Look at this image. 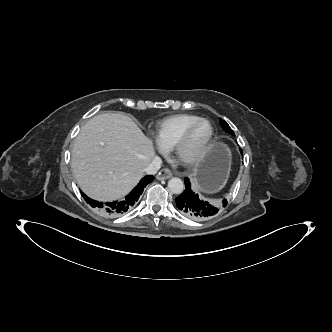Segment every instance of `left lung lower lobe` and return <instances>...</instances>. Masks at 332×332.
Returning <instances> with one entry per match:
<instances>
[{
  "mask_svg": "<svg viewBox=\"0 0 332 332\" xmlns=\"http://www.w3.org/2000/svg\"><path fill=\"white\" fill-rule=\"evenodd\" d=\"M241 154L243 153L240 149ZM186 190L175 199L178 209L188 218L196 221H206L214 216L219 211V207L200 197L191 189L188 178L184 179ZM227 205V200H223V206Z\"/></svg>",
  "mask_w": 332,
  "mask_h": 332,
  "instance_id": "obj_1",
  "label": "left lung lower lobe"
}]
</instances>
